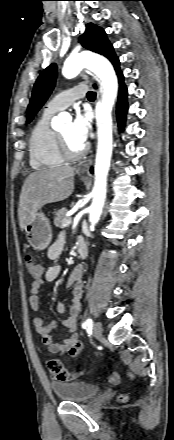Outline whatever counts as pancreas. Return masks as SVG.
<instances>
[{
    "instance_id": "pancreas-1",
    "label": "pancreas",
    "mask_w": 174,
    "mask_h": 440,
    "mask_svg": "<svg viewBox=\"0 0 174 440\" xmlns=\"http://www.w3.org/2000/svg\"><path fill=\"white\" fill-rule=\"evenodd\" d=\"M68 212V209L63 207L61 209H59L57 212H55V216H54V224L59 227V228H63L62 223L63 220L65 219H69L66 214Z\"/></svg>"
}]
</instances>
